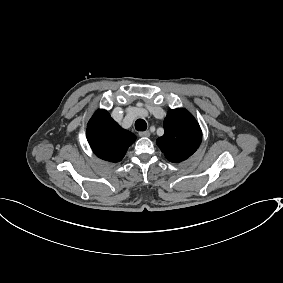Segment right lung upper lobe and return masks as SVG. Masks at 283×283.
Masks as SVG:
<instances>
[{"label":"right lung upper lobe","instance_id":"right-lung-upper-lobe-1","mask_svg":"<svg viewBox=\"0 0 283 283\" xmlns=\"http://www.w3.org/2000/svg\"><path fill=\"white\" fill-rule=\"evenodd\" d=\"M87 139L97 157L117 163L134 143L136 136L122 129L106 110L99 109L88 123Z\"/></svg>","mask_w":283,"mask_h":283}]
</instances>
